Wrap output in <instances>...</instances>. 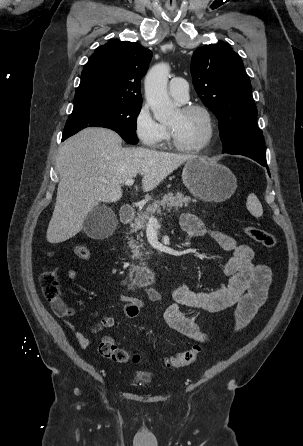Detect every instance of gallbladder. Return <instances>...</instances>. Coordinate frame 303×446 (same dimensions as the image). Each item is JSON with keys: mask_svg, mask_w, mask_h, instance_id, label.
Wrapping results in <instances>:
<instances>
[{"mask_svg": "<svg viewBox=\"0 0 303 446\" xmlns=\"http://www.w3.org/2000/svg\"><path fill=\"white\" fill-rule=\"evenodd\" d=\"M116 222V216L110 208L97 206L86 217L83 231L91 238H103L114 230Z\"/></svg>", "mask_w": 303, "mask_h": 446, "instance_id": "1", "label": "gallbladder"}]
</instances>
